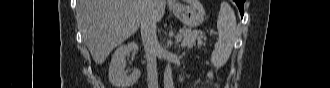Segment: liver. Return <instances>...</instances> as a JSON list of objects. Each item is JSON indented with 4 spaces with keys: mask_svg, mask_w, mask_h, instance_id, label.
Masks as SVG:
<instances>
[{
    "mask_svg": "<svg viewBox=\"0 0 330 88\" xmlns=\"http://www.w3.org/2000/svg\"><path fill=\"white\" fill-rule=\"evenodd\" d=\"M165 6V0H79L76 12L82 37L95 63H104L115 47L134 34L148 11L160 21Z\"/></svg>",
    "mask_w": 330,
    "mask_h": 88,
    "instance_id": "6515ba94",
    "label": "liver"
}]
</instances>
